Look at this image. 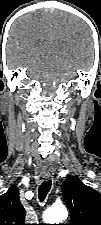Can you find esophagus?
Here are the masks:
<instances>
[{
	"label": "esophagus",
	"instance_id": "34e87169",
	"mask_svg": "<svg viewBox=\"0 0 101 225\" xmlns=\"http://www.w3.org/2000/svg\"><path fill=\"white\" fill-rule=\"evenodd\" d=\"M44 178H45V179H49L50 176H49V175H45Z\"/></svg>",
	"mask_w": 101,
	"mask_h": 225
}]
</instances>
